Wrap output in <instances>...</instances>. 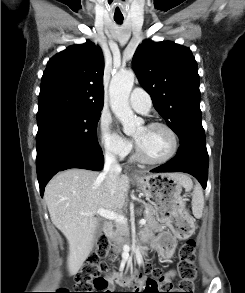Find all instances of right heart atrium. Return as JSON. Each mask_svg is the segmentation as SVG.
Returning <instances> with one entry per match:
<instances>
[{"label": "right heart atrium", "mask_w": 245, "mask_h": 293, "mask_svg": "<svg viewBox=\"0 0 245 293\" xmlns=\"http://www.w3.org/2000/svg\"><path fill=\"white\" fill-rule=\"evenodd\" d=\"M100 140L105 153L113 158H123L131 150V144L127 140L121 138L111 129L108 119L100 120Z\"/></svg>", "instance_id": "obj_1"}]
</instances>
